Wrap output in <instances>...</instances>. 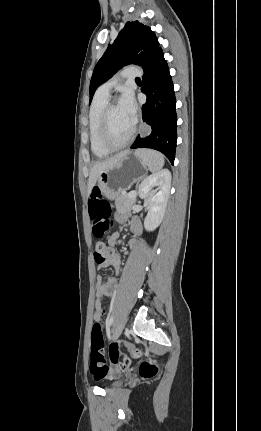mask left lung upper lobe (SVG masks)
Here are the masks:
<instances>
[{
  "mask_svg": "<svg viewBox=\"0 0 261 431\" xmlns=\"http://www.w3.org/2000/svg\"><path fill=\"white\" fill-rule=\"evenodd\" d=\"M159 48V42L150 27L138 21L127 22L95 66L90 82V102L98 86L121 67L131 63L145 67Z\"/></svg>",
  "mask_w": 261,
  "mask_h": 431,
  "instance_id": "5c2ea615",
  "label": "left lung upper lobe"
}]
</instances>
